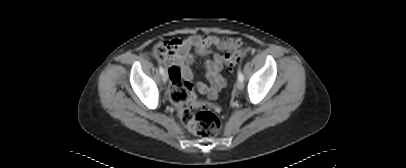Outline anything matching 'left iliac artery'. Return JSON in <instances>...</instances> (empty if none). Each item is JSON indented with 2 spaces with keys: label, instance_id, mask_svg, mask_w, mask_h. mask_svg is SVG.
<instances>
[{
  "label": "left iliac artery",
  "instance_id": "44dca946",
  "mask_svg": "<svg viewBox=\"0 0 406 168\" xmlns=\"http://www.w3.org/2000/svg\"><path fill=\"white\" fill-rule=\"evenodd\" d=\"M238 79H239L240 81H243V80H244V76H243V74H242L240 68L238 69Z\"/></svg>",
  "mask_w": 406,
  "mask_h": 168
}]
</instances>
